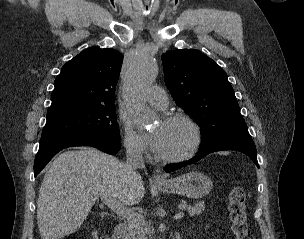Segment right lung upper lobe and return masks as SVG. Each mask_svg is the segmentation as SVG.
<instances>
[{
	"label": "right lung upper lobe",
	"mask_w": 304,
	"mask_h": 239,
	"mask_svg": "<svg viewBox=\"0 0 304 239\" xmlns=\"http://www.w3.org/2000/svg\"><path fill=\"white\" fill-rule=\"evenodd\" d=\"M123 55L91 47L67 62L55 79L48 114L68 109L114 105Z\"/></svg>",
	"instance_id": "1"
}]
</instances>
